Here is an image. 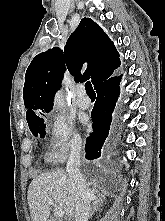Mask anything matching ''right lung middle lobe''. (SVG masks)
<instances>
[{"instance_id": "dd1d6c3e", "label": "right lung middle lobe", "mask_w": 165, "mask_h": 221, "mask_svg": "<svg viewBox=\"0 0 165 221\" xmlns=\"http://www.w3.org/2000/svg\"><path fill=\"white\" fill-rule=\"evenodd\" d=\"M29 129L34 136L40 135L41 138L45 136V128L46 125L44 124L43 118H37L34 121L28 123Z\"/></svg>"}]
</instances>
